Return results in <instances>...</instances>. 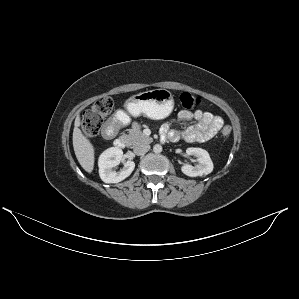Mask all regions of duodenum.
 I'll return each mask as SVG.
<instances>
[{"mask_svg": "<svg viewBox=\"0 0 299 299\" xmlns=\"http://www.w3.org/2000/svg\"><path fill=\"white\" fill-rule=\"evenodd\" d=\"M118 129H119L118 122H109L104 127L103 136L106 139L110 140L114 137ZM114 145L117 148L124 149L127 146V140L124 137H118L114 140Z\"/></svg>", "mask_w": 299, "mask_h": 299, "instance_id": "1", "label": "duodenum"}]
</instances>
